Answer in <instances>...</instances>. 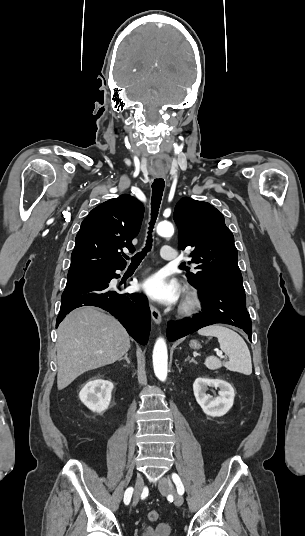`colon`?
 Returning a JSON list of instances; mask_svg holds the SVG:
<instances>
[{
  "label": "colon",
  "instance_id": "5ec220e1",
  "mask_svg": "<svg viewBox=\"0 0 305 536\" xmlns=\"http://www.w3.org/2000/svg\"><path fill=\"white\" fill-rule=\"evenodd\" d=\"M149 521H157L159 519V513L157 511H150L147 515Z\"/></svg>",
  "mask_w": 305,
  "mask_h": 536
}]
</instances>
